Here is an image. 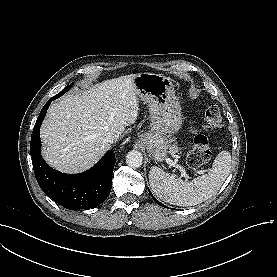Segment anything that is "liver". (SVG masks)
<instances>
[{
    "label": "liver",
    "mask_w": 277,
    "mask_h": 277,
    "mask_svg": "<svg viewBox=\"0 0 277 277\" xmlns=\"http://www.w3.org/2000/svg\"><path fill=\"white\" fill-rule=\"evenodd\" d=\"M135 77L102 81L52 103L40 129L45 161L65 173L92 167L110 149L107 136H120L137 120Z\"/></svg>",
    "instance_id": "liver-1"
}]
</instances>
